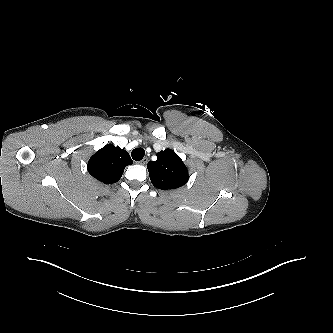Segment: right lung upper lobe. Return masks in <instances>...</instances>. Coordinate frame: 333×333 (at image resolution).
<instances>
[{"label":"right lung upper lobe","instance_id":"obj_1","mask_svg":"<svg viewBox=\"0 0 333 333\" xmlns=\"http://www.w3.org/2000/svg\"><path fill=\"white\" fill-rule=\"evenodd\" d=\"M132 163L128 152L107 144L89 159L87 169L98 181L112 184L119 181L125 167Z\"/></svg>","mask_w":333,"mask_h":333}]
</instances>
